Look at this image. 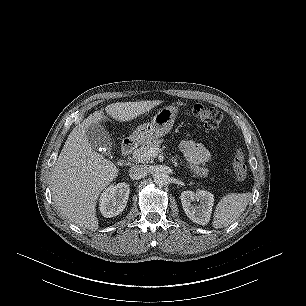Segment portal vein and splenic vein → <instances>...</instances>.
I'll list each match as a JSON object with an SVG mask.
<instances>
[{
	"label": "portal vein and splenic vein",
	"instance_id": "18ae733b",
	"mask_svg": "<svg viewBox=\"0 0 306 306\" xmlns=\"http://www.w3.org/2000/svg\"><path fill=\"white\" fill-rule=\"evenodd\" d=\"M159 151H160L159 148H156V147L151 148V149L147 152L146 156L149 157V158H151V157H156V156L158 155Z\"/></svg>",
	"mask_w": 306,
	"mask_h": 306
}]
</instances>
